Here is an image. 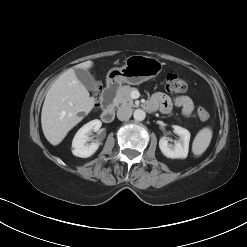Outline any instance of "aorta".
Listing matches in <instances>:
<instances>
[{
    "instance_id": "1",
    "label": "aorta",
    "mask_w": 247,
    "mask_h": 247,
    "mask_svg": "<svg viewBox=\"0 0 247 247\" xmlns=\"http://www.w3.org/2000/svg\"><path fill=\"white\" fill-rule=\"evenodd\" d=\"M133 117L136 121H143L146 117V113L142 109H136L133 113Z\"/></svg>"
}]
</instances>
